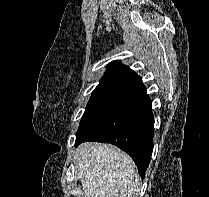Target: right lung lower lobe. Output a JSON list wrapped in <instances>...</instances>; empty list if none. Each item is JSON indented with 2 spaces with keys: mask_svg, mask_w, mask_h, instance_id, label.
<instances>
[{
  "mask_svg": "<svg viewBox=\"0 0 209 197\" xmlns=\"http://www.w3.org/2000/svg\"><path fill=\"white\" fill-rule=\"evenodd\" d=\"M146 91L95 120L76 134L75 145L85 141L111 143L124 150L143 178L153 151L154 119Z\"/></svg>",
  "mask_w": 209,
  "mask_h": 197,
  "instance_id": "1",
  "label": "right lung lower lobe"
}]
</instances>
